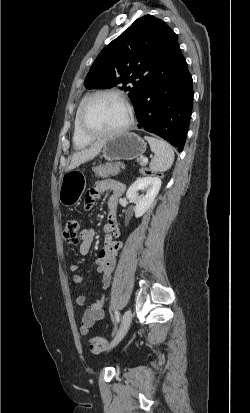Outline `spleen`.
Segmentation results:
<instances>
[{
	"label": "spleen",
	"mask_w": 250,
	"mask_h": 413,
	"mask_svg": "<svg viewBox=\"0 0 250 413\" xmlns=\"http://www.w3.org/2000/svg\"><path fill=\"white\" fill-rule=\"evenodd\" d=\"M145 139L154 153V157L149 165L150 170L155 173L167 171L172 166L174 161L173 148L163 140L149 136H146Z\"/></svg>",
	"instance_id": "spleen-1"
}]
</instances>
